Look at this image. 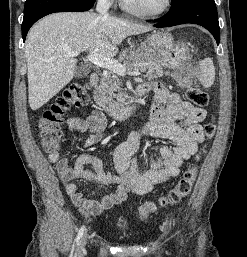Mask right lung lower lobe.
<instances>
[{
	"mask_svg": "<svg viewBox=\"0 0 247 257\" xmlns=\"http://www.w3.org/2000/svg\"><path fill=\"white\" fill-rule=\"evenodd\" d=\"M95 0H26L22 23L25 41L30 27L40 18L55 12H82L94 5Z\"/></svg>",
	"mask_w": 247,
	"mask_h": 257,
	"instance_id": "98d812e1",
	"label": "right lung lower lobe"
}]
</instances>
